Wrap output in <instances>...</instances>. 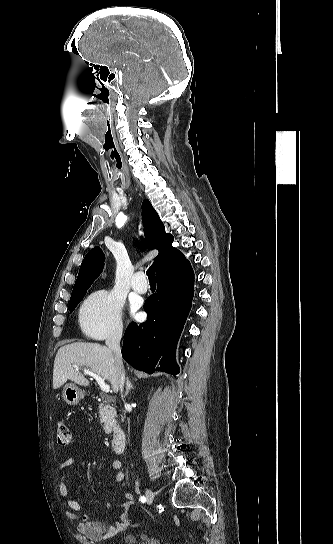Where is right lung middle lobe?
<instances>
[{
	"mask_svg": "<svg viewBox=\"0 0 333 544\" xmlns=\"http://www.w3.org/2000/svg\"><path fill=\"white\" fill-rule=\"evenodd\" d=\"M85 294H86V291L71 295L70 304H69V307H68L70 313L75 309L77 304L83 299Z\"/></svg>",
	"mask_w": 333,
	"mask_h": 544,
	"instance_id": "1",
	"label": "right lung middle lobe"
}]
</instances>
